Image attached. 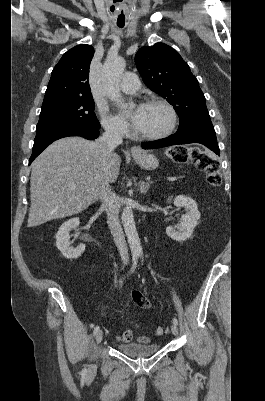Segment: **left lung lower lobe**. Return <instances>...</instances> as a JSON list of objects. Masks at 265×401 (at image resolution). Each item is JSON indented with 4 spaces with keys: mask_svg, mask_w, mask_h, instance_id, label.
Returning <instances> with one entry per match:
<instances>
[{
    "mask_svg": "<svg viewBox=\"0 0 265 401\" xmlns=\"http://www.w3.org/2000/svg\"><path fill=\"white\" fill-rule=\"evenodd\" d=\"M189 143L203 144L216 154H220L216 133L210 119L197 121L186 127L179 128L174 135H171L167 138L152 142H143L142 148L156 149L171 145Z\"/></svg>",
    "mask_w": 265,
    "mask_h": 401,
    "instance_id": "1",
    "label": "left lung lower lobe"
}]
</instances>
